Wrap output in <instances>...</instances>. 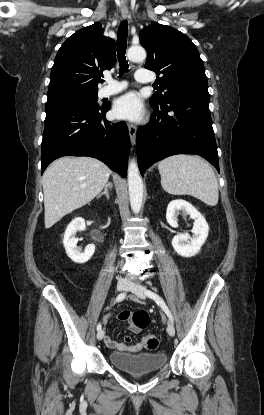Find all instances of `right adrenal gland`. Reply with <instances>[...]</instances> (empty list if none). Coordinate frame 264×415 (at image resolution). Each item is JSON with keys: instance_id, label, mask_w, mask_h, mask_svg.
<instances>
[{"instance_id": "right-adrenal-gland-1", "label": "right adrenal gland", "mask_w": 264, "mask_h": 415, "mask_svg": "<svg viewBox=\"0 0 264 415\" xmlns=\"http://www.w3.org/2000/svg\"><path fill=\"white\" fill-rule=\"evenodd\" d=\"M112 187H113V184H112L111 182H108V183L105 185L104 191H103V192H101V193L98 195V198H100L101 196L105 195V196H106V198H107V199H109V198H110V196H109V192H108V190H109V189H111Z\"/></svg>"}]
</instances>
